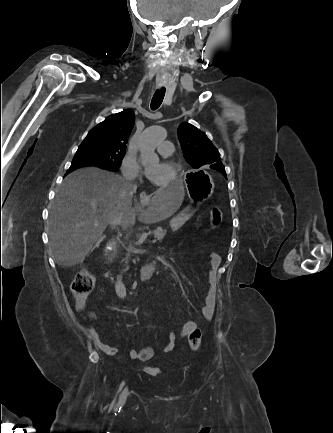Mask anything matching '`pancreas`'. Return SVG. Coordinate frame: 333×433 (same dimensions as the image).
Listing matches in <instances>:
<instances>
[{"instance_id":"obj_1","label":"pancreas","mask_w":333,"mask_h":433,"mask_svg":"<svg viewBox=\"0 0 333 433\" xmlns=\"http://www.w3.org/2000/svg\"><path fill=\"white\" fill-rule=\"evenodd\" d=\"M153 234L158 241H162L166 235V230L158 227L156 230L153 231Z\"/></svg>"}]
</instances>
